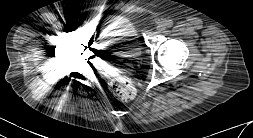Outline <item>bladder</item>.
Masks as SVG:
<instances>
[{
	"mask_svg": "<svg viewBox=\"0 0 253 138\" xmlns=\"http://www.w3.org/2000/svg\"><path fill=\"white\" fill-rule=\"evenodd\" d=\"M99 39L104 49L115 50L125 59L133 60L141 55L136 26L129 20L108 21L101 30Z\"/></svg>",
	"mask_w": 253,
	"mask_h": 138,
	"instance_id": "1",
	"label": "bladder"
}]
</instances>
